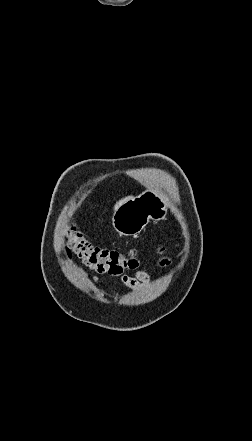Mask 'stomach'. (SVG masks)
<instances>
[{"label":"stomach","instance_id":"1","mask_svg":"<svg viewBox=\"0 0 252 441\" xmlns=\"http://www.w3.org/2000/svg\"><path fill=\"white\" fill-rule=\"evenodd\" d=\"M168 214V201L154 190H146L118 206L112 224L120 236H137L150 220H164Z\"/></svg>","mask_w":252,"mask_h":441}]
</instances>
